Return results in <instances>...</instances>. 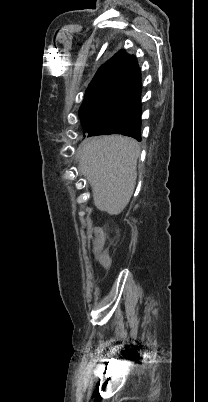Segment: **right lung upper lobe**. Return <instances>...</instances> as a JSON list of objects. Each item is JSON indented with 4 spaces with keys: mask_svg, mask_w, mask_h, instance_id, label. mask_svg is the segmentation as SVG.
Returning a JSON list of instances; mask_svg holds the SVG:
<instances>
[{
    "mask_svg": "<svg viewBox=\"0 0 208 402\" xmlns=\"http://www.w3.org/2000/svg\"><path fill=\"white\" fill-rule=\"evenodd\" d=\"M134 58L133 55H128L124 50L117 52L97 71L86 94L97 93L102 89H107Z\"/></svg>",
    "mask_w": 208,
    "mask_h": 402,
    "instance_id": "right-lung-upper-lobe-1",
    "label": "right lung upper lobe"
}]
</instances>
